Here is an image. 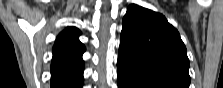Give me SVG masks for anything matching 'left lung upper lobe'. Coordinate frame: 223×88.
<instances>
[{
    "label": "left lung upper lobe",
    "mask_w": 223,
    "mask_h": 88,
    "mask_svg": "<svg viewBox=\"0 0 223 88\" xmlns=\"http://www.w3.org/2000/svg\"><path fill=\"white\" fill-rule=\"evenodd\" d=\"M117 64L164 88H189L191 82L179 32L162 14L135 4L122 21Z\"/></svg>",
    "instance_id": "obj_1"
}]
</instances>
